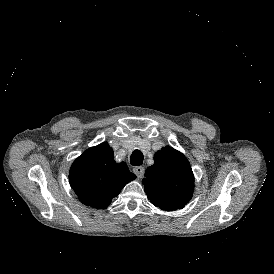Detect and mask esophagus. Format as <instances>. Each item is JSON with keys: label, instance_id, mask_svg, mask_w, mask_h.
I'll list each match as a JSON object with an SVG mask.
<instances>
[{"label": "esophagus", "instance_id": "obj_1", "mask_svg": "<svg viewBox=\"0 0 274 274\" xmlns=\"http://www.w3.org/2000/svg\"><path fill=\"white\" fill-rule=\"evenodd\" d=\"M133 172L137 175L138 178H141L144 175V167L135 166Z\"/></svg>", "mask_w": 274, "mask_h": 274}]
</instances>
